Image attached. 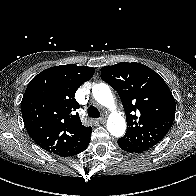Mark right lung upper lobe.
Returning a JSON list of instances; mask_svg holds the SVG:
<instances>
[{
	"mask_svg": "<svg viewBox=\"0 0 196 196\" xmlns=\"http://www.w3.org/2000/svg\"><path fill=\"white\" fill-rule=\"evenodd\" d=\"M95 69L75 64L45 69L28 84L21 102L23 121L30 137L42 149L64 155L91 135L82 125L76 90L90 80Z\"/></svg>",
	"mask_w": 196,
	"mask_h": 196,
	"instance_id": "obj_1",
	"label": "right lung upper lobe"
}]
</instances>
